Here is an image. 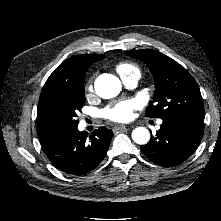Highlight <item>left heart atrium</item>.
<instances>
[{"label": "left heart atrium", "instance_id": "obj_1", "mask_svg": "<svg viewBox=\"0 0 221 221\" xmlns=\"http://www.w3.org/2000/svg\"><path fill=\"white\" fill-rule=\"evenodd\" d=\"M140 107L137 99H126L116 102L103 111L106 119L114 122H127L133 118L134 110Z\"/></svg>", "mask_w": 221, "mask_h": 221}]
</instances>
